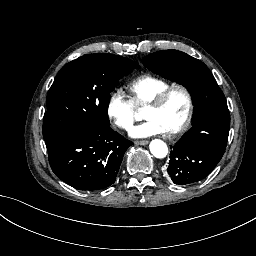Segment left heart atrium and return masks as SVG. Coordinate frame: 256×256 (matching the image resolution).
<instances>
[{"instance_id":"left-heart-atrium-1","label":"left heart atrium","mask_w":256,"mask_h":256,"mask_svg":"<svg viewBox=\"0 0 256 256\" xmlns=\"http://www.w3.org/2000/svg\"><path fill=\"white\" fill-rule=\"evenodd\" d=\"M143 130L148 134H167L170 131L168 122L160 116H152L142 125Z\"/></svg>"}]
</instances>
